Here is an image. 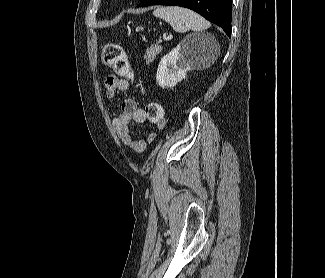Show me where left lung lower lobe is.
Returning a JSON list of instances; mask_svg holds the SVG:
<instances>
[{
    "instance_id": "1",
    "label": "left lung lower lobe",
    "mask_w": 325,
    "mask_h": 278,
    "mask_svg": "<svg viewBox=\"0 0 325 278\" xmlns=\"http://www.w3.org/2000/svg\"><path fill=\"white\" fill-rule=\"evenodd\" d=\"M150 5L181 6L194 10L220 26L231 36L232 0H142L138 7Z\"/></svg>"
}]
</instances>
